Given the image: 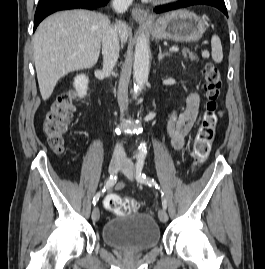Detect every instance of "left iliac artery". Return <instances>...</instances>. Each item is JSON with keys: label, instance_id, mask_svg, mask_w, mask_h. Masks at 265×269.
Here are the masks:
<instances>
[{"label": "left iliac artery", "instance_id": "obj_1", "mask_svg": "<svg viewBox=\"0 0 265 269\" xmlns=\"http://www.w3.org/2000/svg\"><path fill=\"white\" fill-rule=\"evenodd\" d=\"M144 162H145V157L144 156H140L137 160V164H136V180L140 183L143 184H147L149 186H154L156 189H160L158 183L154 180V179H150L148 178L143 172V166H144ZM161 196H162V206L163 209L167 208V202L164 196V192H162L161 190Z\"/></svg>", "mask_w": 265, "mask_h": 269}]
</instances>
